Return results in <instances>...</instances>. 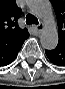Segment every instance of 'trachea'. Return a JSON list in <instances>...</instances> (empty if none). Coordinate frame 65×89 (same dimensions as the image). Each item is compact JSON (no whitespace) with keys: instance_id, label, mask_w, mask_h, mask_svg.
Here are the masks:
<instances>
[{"instance_id":"trachea-1","label":"trachea","mask_w":65,"mask_h":89,"mask_svg":"<svg viewBox=\"0 0 65 89\" xmlns=\"http://www.w3.org/2000/svg\"><path fill=\"white\" fill-rule=\"evenodd\" d=\"M26 23L30 25V24H38L39 22H38V19L34 15L27 14Z\"/></svg>"}]
</instances>
